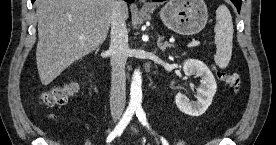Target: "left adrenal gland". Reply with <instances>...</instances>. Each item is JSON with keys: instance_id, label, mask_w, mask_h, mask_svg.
Returning <instances> with one entry per match:
<instances>
[{"instance_id": "left-adrenal-gland-1", "label": "left adrenal gland", "mask_w": 276, "mask_h": 145, "mask_svg": "<svg viewBox=\"0 0 276 145\" xmlns=\"http://www.w3.org/2000/svg\"><path fill=\"white\" fill-rule=\"evenodd\" d=\"M163 39L164 37H159L158 41H157V46L161 51H164L166 48H170V47H174L173 44L169 43V42H164L163 43Z\"/></svg>"}]
</instances>
